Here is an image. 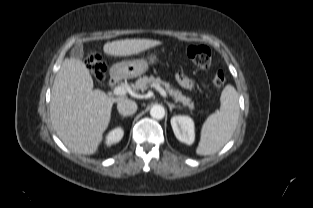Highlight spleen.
Returning a JSON list of instances; mask_svg holds the SVG:
<instances>
[{"mask_svg": "<svg viewBox=\"0 0 313 208\" xmlns=\"http://www.w3.org/2000/svg\"><path fill=\"white\" fill-rule=\"evenodd\" d=\"M236 89L224 87L220 110L208 116L201 129V138L196 149L198 155H211L219 151L233 136L239 118V101Z\"/></svg>", "mask_w": 313, "mask_h": 208, "instance_id": "spleen-1", "label": "spleen"}]
</instances>
